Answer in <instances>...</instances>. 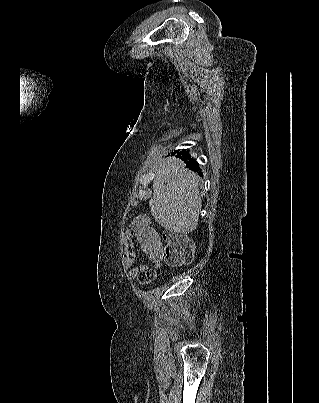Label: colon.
<instances>
[{
	"label": "colon",
	"mask_w": 319,
	"mask_h": 403,
	"mask_svg": "<svg viewBox=\"0 0 319 403\" xmlns=\"http://www.w3.org/2000/svg\"><path fill=\"white\" fill-rule=\"evenodd\" d=\"M134 235L138 238V248H143L148 258L159 262L164 257L170 268H179L192 263L195 255L194 242L181 233L165 232L160 236L150 225L148 217L137 216L132 223ZM154 271L146 270L141 273V283L148 284L154 280Z\"/></svg>",
	"instance_id": "colon-1"
}]
</instances>
